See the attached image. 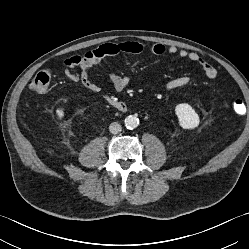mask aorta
I'll return each mask as SVG.
<instances>
[{"mask_svg": "<svg viewBox=\"0 0 249 249\" xmlns=\"http://www.w3.org/2000/svg\"><path fill=\"white\" fill-rule=\"evenodd\" d=\"M124 123L126 128L134 129L139 125V119L134 115H130L125 118Z\"/></svg>", "mask_w": 249, "mask_h": 249, "instance_id": "aorta-1", "label": "aorta"}]
</instances>
